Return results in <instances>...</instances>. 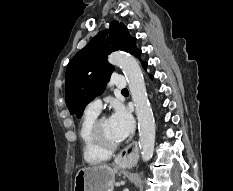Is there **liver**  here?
<instances>
[{"label": "liver", "instance_id": "obj_1", "mask_svg": "<svg viewBox=\"0 0 233 191\" xmlns=\"http://www.w3.org/2000/svg\"><path fill=\"white\" fill-rule=\"evenodd\" d=\"M98 167H100V168H106V167H108V165L104 164V165H100Z\"/></svg>", "mask_w": 233, "mask_h": 191}]
</instances>
